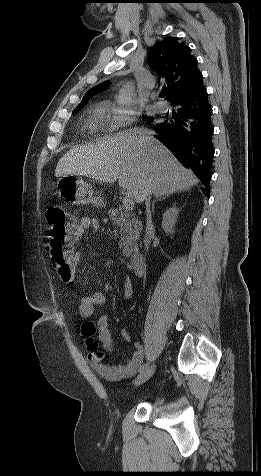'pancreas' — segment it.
Instances as JSON below:
<instances>
[{
    "label": "pancreas",
    "instance_id": "cf45deb5",
    "mask_svg": "<svg viewBox=\"0 0 261 476\" xmlns=\"http://www.w3.org/2000/svg\"><path fill=\"white\" fill-rule=\"evenodd\" d=\"M108 215L113 224L117 225L121 240L119 247L124 256L129 257L137 248V240L142 230L141 222L135 216L122 209L111 208Z\"/></svg>",
    "mask_w": 261,
    "mask_h": 476
}]
</instances>
